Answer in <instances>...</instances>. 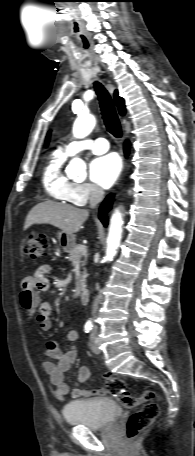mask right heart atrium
<instances>
[{"mask_svg": "<svg viewBox=\"0 0 195 456\" xmlns=\"http://www.w3.org/2000/svg\"><path fill=\"white\" fill-rule=\"evenodd\" d=\"M100 194L101 191L89 183H72L69 199L75 205L83 206L88 201L98 198Z\"/></svg>", "mask_w": 195, "mask_h": 456, "instance_id": "obj_1", "label": "right heart atrium"}]
</instances>
